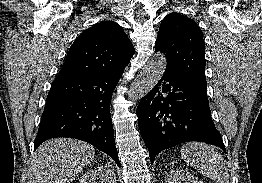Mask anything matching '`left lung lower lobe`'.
Here are the masks:
<instances>
[{
  "label": "left lung lower lobe",
  "instance_id": "1",
  "mask_svg": "<svg viewBox=\"0 0 262 183\" xmlns=\"http://www.w3.org/2000/svg\"><path fill=\"white\" fill-rule=\"evenodd\" d=\"M138 125L151 163L162 150L189 141L225 150L211 118L207 88L166 70L137 107Z\"/></svg>",
  "mask_w": 262,
  "mask_h": 183
}]
</instances>
